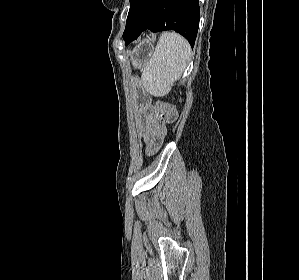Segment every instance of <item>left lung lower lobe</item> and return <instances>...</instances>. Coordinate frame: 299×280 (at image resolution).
Segmentation results:
<instances>
[{
	"instance_id": "1",
	"label": "left lung lower lobe",
	"mask_w": 299,
	"mask_h": 280,
	"mask_svg": "<svg viewBox=\"0 0 299 280\" xmlns=\"http://www.w3.org/2000/svg\"><path fill=\"white\" fill-rule=\"evenodd\" d=\"M199 20V0H132L123 39L128 45L146 29L174 30L193 47Z\"/></svg>"
}]
</instances>
